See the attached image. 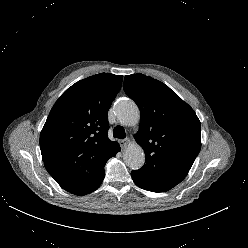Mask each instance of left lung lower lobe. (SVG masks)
I'll use <instances>...</instances> for the list:
<instances>
[{
	"mask_svg": "<svg viewBox=\"0 0 248 248\" xmlns=\"http://www.w3.org/2000/svg\"><path fill=\"white\" fill-rule=\"evenodd\" d=\"M131 176H132V179L135 182V184L137 186H139L140 188L144 189L143 186H142V184L140 183V179H139V176H138L137 172L136 171H132L131 172Z\"/></svg>",
	"mask_w": 248,
	"mask_h": 248,
	"instance_id": "obj_1",
	"label": "left lung lower lobe"
}]
</instances>
